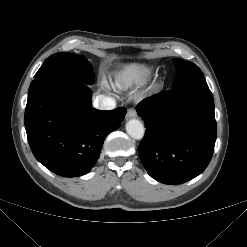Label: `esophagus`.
I'll list each match as a JSON object with an SVG mask.
<instances>
[{
    "label": "esophagus",
    "instance_id": "esophagus-1",
    "mask_svg": "<svg viewBox=\"0 0 247 247\" xmlns=\"http://www.w3.org/2000/svg\"><path fill=\"white\" fill-rule=\"evenodd\" d=\"M136 115L137 113L134 109H129L126 114V119L134 118Z\"/></svg>",
    "mask_w": 247,
    "mask_h": 247
}]
</instances>
